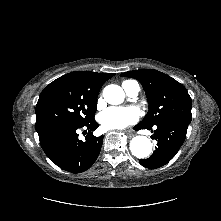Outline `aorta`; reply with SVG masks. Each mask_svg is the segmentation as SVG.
<instances>
[{"label": "aorta", "mask_w": 221, "mask_h": 221, "mask_svg": "<svg viewBox=\"0 0 221 221\" xmlns=\"http://www.w3.org/2000/svg\"><path fill=\"white\" fill-rule=\"evenodd\" d=\"M103 97L109 104L118 105L124 100V91L120 86L111 84L104 88ZM152 146L150 139L145 136H135L130 141L132 155L140 159L147 158L151 154Z\"/></svg>", "instance_id": "762f6f07"}]
</instances>
